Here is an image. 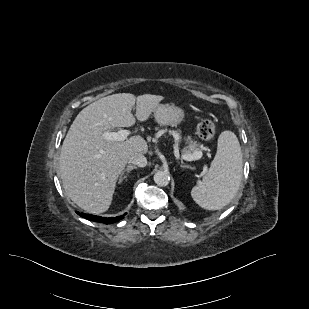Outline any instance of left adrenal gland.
Listing matches in <instances>:
<instances>
[{"instance_id": "obj_1", "label": "left adrenal gland", "mask_w": 309, "mask_h": 309, "mask_svg": "<svg viewBox=\"0 0 309 309\" xmlns=\"http://www.w3.org/2000/svg\"><path fill=\"white\" fill-rule=\"evenodd\" d=\"M180 167H181V168L192 169V167H191V166H188V165H182V164H181Z\"/></svg>"}]
</instances>
